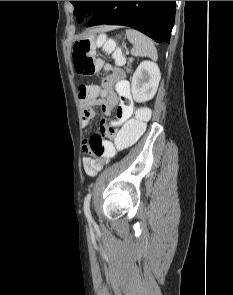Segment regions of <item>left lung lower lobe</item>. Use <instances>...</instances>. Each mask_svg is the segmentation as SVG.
<instances>
[{
    "label": "left lung lower lobe",
    "instance_id": "0a47b994",
    "mask_svg": "<svg viewBox=\"0 0 233 295\" xmlns=\"http://www.w3.org/2000/svg\"><path fill=\"white\" fill-rule=\"evenodd\" d=\"M176 1H101L87 27L101 24L135 28L156 42H170Z\"/></svg>",
    "mask_w": 233,
    "mask_h": 295
}]
</instances>
